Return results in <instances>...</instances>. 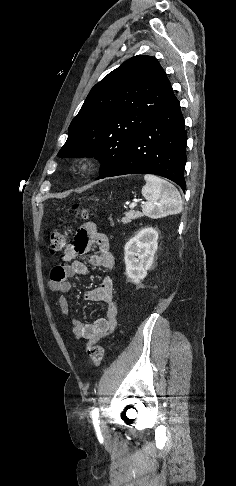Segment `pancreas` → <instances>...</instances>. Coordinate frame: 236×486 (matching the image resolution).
I'll return each instance as SVG.
<instances>
[{
    "instance_id": "cf45deb5",
    "label": "pancreas",
    "mask_w": 236,
    "mask_h": 486,
    "mask_svg": "<svg viewBox=\"0 0 236 486\" xmlns=\"http://www.w3.org/2000/svg\"><path fill=\"white\" fill-rule=\"evenodd\" d=\"M140 217H142L141 213L131 210V211L125 213V217L122 218L121 222L123 224H127V223H130L133 219H137V218H140Z\"/></svg>"
}]
</instances>
